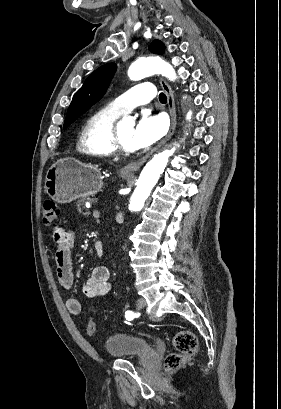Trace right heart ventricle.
<instances>
[{
  "instance_id": "obj_1",
  "label": "right heart ventricle",
  "mask_w": 281,
  "mask_h": 409,
  "mask_svg": "<svg viewBox=\"0 0 281 409\" xmlns=\"http://www.w3.org/2000/svg\"><path fill=\"white\" fill-rule=\"evenodd\" d=\"M119 115L110 108H101L88 117L81 135V149L86 154L94 158H108L111 156L107 147V136L110 127Z\"/></svg>"
}]
</instances>
